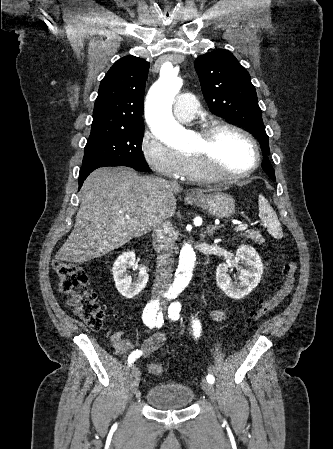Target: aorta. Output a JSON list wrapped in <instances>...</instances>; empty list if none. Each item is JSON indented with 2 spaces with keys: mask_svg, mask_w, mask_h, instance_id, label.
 Wrapping results in <instances>:
<instances>
[{
  "mask_svg": "<svg viewBox=\"0 0 333 449\" xmlns=\"http://www.w3.org/2000/svg\"><path fill=\"white\" fill-rule=\"evenodd\" d=\"M182 86L171 64L162 67L160 78L151 87L146 100V121L153 134L161 141L175 149L186 150L190 145V137L177 123L172 115V104ZM195 266V252L188 242H182L179 264L172 289L180 293L192 278Z\"/></svg>",
  "mask_w": 333,
  "mask_h": 449,
  "instance_id": "1",
  "label": "aorta"
}]
</instances>
